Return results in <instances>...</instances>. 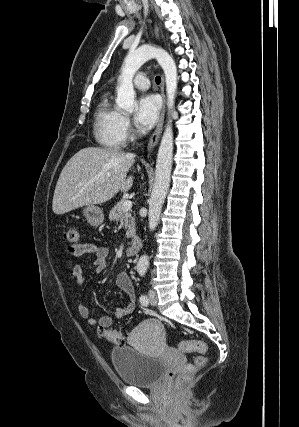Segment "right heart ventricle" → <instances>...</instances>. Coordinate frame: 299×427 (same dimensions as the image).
Segmentation results:
<instances>
[{
  "mask_svg": "<svg viewBox=\"0 0 299 427\" xmlns=\"http://www.w3.org/2000/svg\"><path fill=\"white\" fill-rule=\"evenodd\" d=\"M122 113L112 103L109 93L99 100L94 115V136L104 148L118 150L124 144L122 134Z\"/></svg>",
  "mask_w": 299,
  "mask_h": 427,
  "instance_id": "e07e8e85",
  "label": "right heart ventricle"
}]
</instances>
